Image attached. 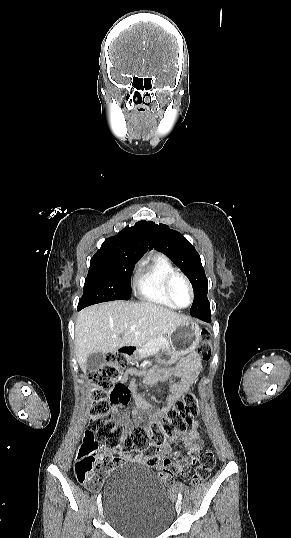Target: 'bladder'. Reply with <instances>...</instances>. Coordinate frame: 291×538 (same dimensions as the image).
Returning a JSON list of instances; mask_svg holds the SVG:
<instances>
[{
	"label": "bladder",
	"mask_w": 291,
	"mask_h": 538,
	"mask_svg": "<svg viewBox=\"0 0 291 538\" xmlns=\"http://www.w3.org/2000/svg\"><path fill=\"white\" fill-rule=\"evenodd\" d=\"M102 513L107 524L127 538H157L174 520L164 485L153 471L136 463L119 466L110 474Z\"/></svg>",
	"instance_id": "obj_1"
}]
</instances>
